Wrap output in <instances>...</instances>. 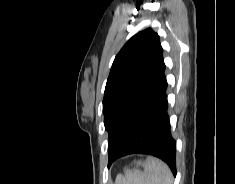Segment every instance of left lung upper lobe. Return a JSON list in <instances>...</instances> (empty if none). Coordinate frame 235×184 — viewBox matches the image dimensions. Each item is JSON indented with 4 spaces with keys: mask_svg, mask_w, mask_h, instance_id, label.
<instances>
[{
    "mask_svg": "<svg viewBox=\"0 0 235 184\" xmlns=\"http://www.w3.org/2000/svg\"><path fill=\"white\" fill-rule=\"evenodd\" d=\"M162 55L159 36L151 28L134 35L116 55L103 98L109 161L126 143L152 94L162 69Z\"/></svg>",
    "mask_w": 235,
    "mask_h": 184,
    "instance_id": "obj_1",
    "label": "left lung upper lobe"
}]
</instances>
